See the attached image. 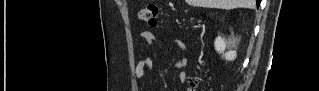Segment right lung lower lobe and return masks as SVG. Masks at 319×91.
Returning <instances> with one entry per match:
<instances>
[{
  "mask_svg": "<svg viewBox=\"0 0 319 91\" xmlns=\"http://www.w3.org/2000/svg\"><path fill=\"white\" fill-rule=\"evenodd\" d=\"M256 4H257V7H258L259 4H260V0H256Z\"/></svg>",
  "mask_w": 319,
  "mask_h": 91,
  "instance_id": "1",
  "label": "right lung lower lobe"
}]
</instances>
